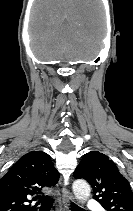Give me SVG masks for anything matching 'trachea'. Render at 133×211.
I'll list each match as a JSON object with an SVG mask.
<instances>
[{"instance_id":"3493384b","label":"trachea","mask_w":133,"mask_h":211,"mask_svg":"<svg viewBox=\"0 0 133 211\" xmlns=\"http://www.w3.org/2000/svg\"><path fill=\"white\" fill-rule=\"evenodd\" d=\"M35 199H38L41 201V209H50L52 207L53 200H51L48 197H43V196L38 195L35 197ZM71 210L72 211H84L83 209H81L80 207L75 205L74 203H72V205H71Z\"/></svg>"}]
</instances>
